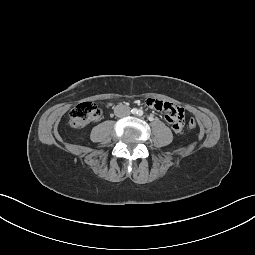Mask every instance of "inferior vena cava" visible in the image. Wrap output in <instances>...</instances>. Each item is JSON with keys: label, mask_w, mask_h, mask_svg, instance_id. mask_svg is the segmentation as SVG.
<instances>
[{"label": "inferior vena cava", "mask_w": 255, "mask_h": 255, "mask_svg": "<svg viewBox=\"0 0 255 255\" xmlns=\"http://www.w3.org/2000/svg\"><path fill=\"white\" fill-rule=\"evenodd\" d=\"M115 114L117 117H125L130 115V108L126 105L119 104L115 107Z\"/></svg>", "instance_id": "obj_1"}]
</instances>
